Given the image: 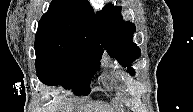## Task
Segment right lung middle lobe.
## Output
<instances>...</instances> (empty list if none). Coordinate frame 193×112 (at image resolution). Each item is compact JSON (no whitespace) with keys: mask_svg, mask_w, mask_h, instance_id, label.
I'll list each match as a JSON object with an SVG mask.
<instances>
[{"mask_svg":"<svg viewBox=\"0 0 193 112\" xmlns=\"http://www.w3.org/2000/svg\"><path fill=\"white\" fill-rule=\"evenodd\" d=\"M35 53L42 83L73 88L77 95L90 93L89 81L99 68L102 49L73 38L36 36Z\"/></svg>","mask_w":193,"mask_h":112,"instance_id":"obj_1","label":"right lung middle lobe"}]
</instances>
